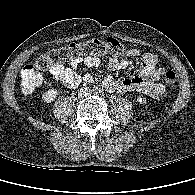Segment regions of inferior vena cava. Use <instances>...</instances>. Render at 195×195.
Returning <instances> with one entry per match:
<instances>
[{"label": "inferior vena cava", "mask_w": 195, "mask_h": 195, "mask_svg": "<svg viewBox=\"0 0 195 195\" xmlns=\"http://www.w3.org/2000/svg\"><path fill=\"white\" fill-rule=\"evenodd\" d=\"M92 91L89 88H84L80 90V95L83 97H87L91 95Z\"/></svg>", "instance_id": "602c4592"}]
</instances>
